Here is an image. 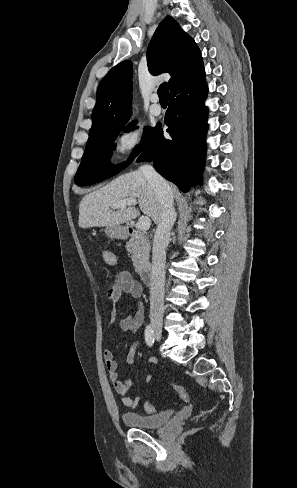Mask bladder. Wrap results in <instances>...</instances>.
Here are the masks:
<instances>
[{"mask_svg":"<svg viewBox=\"0 0 297 488\" xmlns=\"http://www.w3.org/2000/svg\"><path fill=\"white\" fill-rule=\"evenodd\" d=\"M172 416V410H166L150 415L139 414L136 412H124L122 414V421L130 428L153 430L167 424Z\"/></svg>","mask_w":297,"mask_h":488,"instance_id":"31cf9c89","label":"bladder"}]
</instances>
